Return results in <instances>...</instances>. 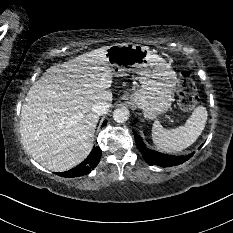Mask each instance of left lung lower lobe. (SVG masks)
I'll use <instances>...</instances> for the list:
<instances>
[{
  "mask_svg": "<svg viewBox=\"0 0 233 233\" xmlns=\"http://www.w3.org/2000/svg\"><path fill=\"white\" fill-rule=\"evenodd\" d=\"M133 133L138 150L143 155V158L152 165H157L161 167H171L179 165L190 159V157H192L194 154L192 153L187 156H172L153 151L145 146L141 137L135 131H133Z\"/></svg>",
  "mask_w": 233,
  "mask_h": 233,
  "instance_id": "obj_1",
  "label": "left lung lower lobe"
}]
</instances>
